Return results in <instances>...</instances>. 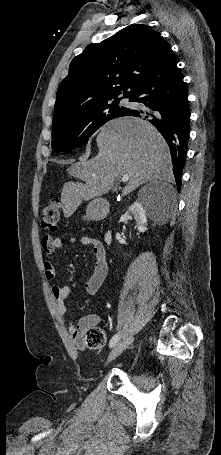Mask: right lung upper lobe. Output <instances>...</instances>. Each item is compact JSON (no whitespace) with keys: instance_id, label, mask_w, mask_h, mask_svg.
Segmentation results:
<instances>
[{"instance_id":"right-lung-upper-lobe-1","label":"right lung upper lobe","mask_w":221,"mask_h":455,"mask_svg":"<svg viewBox=\"0 0 221 455\" xmlns=\"http://www.w3.org/2000/svg\"><path fill=\"white\" fill-rule=\"evenodd\" d=\"M170 49L158 32L143 24L87 46L71 61L69 75L58 88L53 123L121 94L130 98Z\"/></svg>"}]
</instances>
